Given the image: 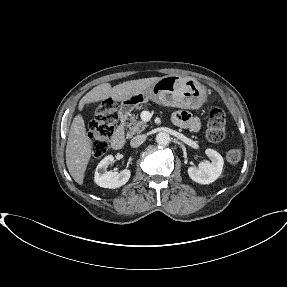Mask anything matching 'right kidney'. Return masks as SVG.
<instances>
[{"mask_svg":"<svg viewBox=\"0 0 287 287\" xmlns=\"http://www.w3.org/2000/svg\"><path fill=\"white\" fill-rule=\"evenodd\" d=\"M113 162V155H108L97 165L94 181L98 186L115 189L125 185L129 181L131 171L128 169H124L120 173L107 171L108 166Z\"/></svg>","mask_w":287,"mask_h":287,"instance_id":"right-kidney-1","label":"right kidney"}]
</instances>
